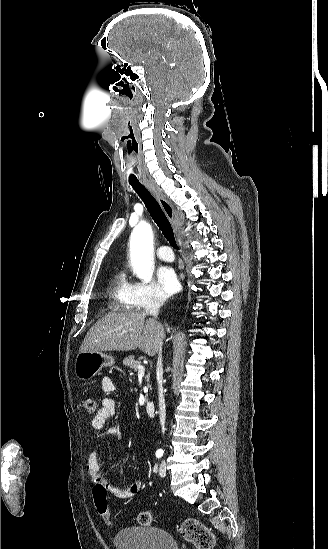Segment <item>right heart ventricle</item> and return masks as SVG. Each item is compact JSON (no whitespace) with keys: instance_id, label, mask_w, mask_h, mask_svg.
I'll list each match as a JSON object with an SVG mask.
<instances>
[{"instance_id":"right-heart-ventricle-1","label":"right heart ventricle","mask_w":328,"mask_h":549,"mask_svg":"<svg viewBox=\"0 0 328 549\" xmlns=\"http://www.w3.org/2000/svg\"><path fill=\"white\" fill-rule=\"evenodd\" d=\"M108 301V303H123V310H133V303H142L135 284L122 270L117 271L112 278Z\"/></svg>"}]
</instances>
